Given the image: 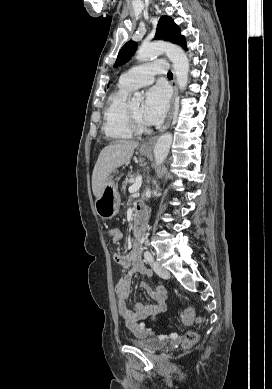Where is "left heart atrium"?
<instances>
[{"instance_id": "1", "label": "left heart atrium", "mask_w": 272, "mask_h": 389, "mask_svg": "<svg viewBox=\"0 0 272 389\" xmlns=\"http://www.w3.org/2000/svg\"><path fill=\"white\" fill-rule=\"evenodd\" d=\"M169 107V93L163 86L157 85L146 93L142 105V118L146 124H156L163 120Z\"/></svg>"}]
</instances>
